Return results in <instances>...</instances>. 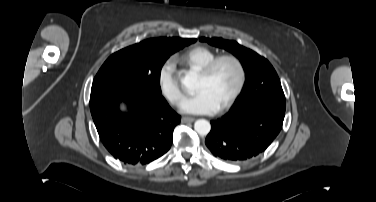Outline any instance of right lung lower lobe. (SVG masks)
Masks as SVG:
<instances>
[{"label":"right lung lower lobe","mask_w":376,"mask_h":202,"mask_svg":"<svg viewBox=\"0 0 376 202\" xmlns=\"http://www.w3.org/2000/svg\"><path fill=\"white\" fill-rule=\"evenodd\" d=\"M121 101L129 104L128 113L119 111ZM90 110L100 140L126 165H144L165 154L180 123L161 94L141 87L91 90Z\"/></svg>","instance_id":"obj_1"}]
</instances>
